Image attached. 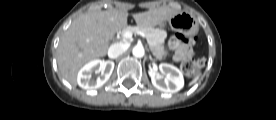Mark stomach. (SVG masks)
<instances>
[{"label":"stomach","instance_id":"obj_1","mask_svg":"<svg viewBox=\"0 0 276 120\" xmlns=\"http://www.w3.org/2000/svg\"><path fill=\"white\" fill-rule=\"evenodd\" d=\"M167 21L170 27L179 33L190 34L198 30V23L195 17L188 12L180 11ZM164 24L165 21L158 26L163 27Z\"/></svg>","mask_w":276,"mask_h":120}]
</instances>
